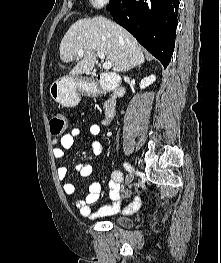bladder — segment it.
<instances>
[{
    "label": "bladder",
    "mask_w": 221,
    "mask_h": 263,
    "mask_svg": "<svg viewBox=\"0 0 221 263\" xmlns=\"http://www.w3.org/2000/svg\"><path fill=\"white\" fill-rule=\"evenodd\" d=\"M110 221L123 228H130L133 225V221L126 217H113Z\"/></svg>",
    "instance_id": "obj_1"
}]
</instances>
